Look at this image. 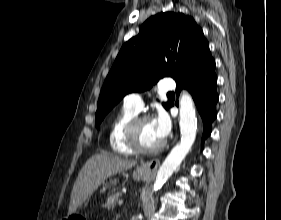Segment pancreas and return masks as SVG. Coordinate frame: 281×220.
<instances>
[{"mask_svg":"<svg viewBox=\"0 0 281 220\" xmlns=\"http://www.w3.org/2000/svg\"><path fill=\"white\" fill-rule=\"evenodd\" d=\"M120 196H121L120 192L110 195L108 197L107 201L105 202V204H103V207L108 208V209H110L111 207H114Z\"/></svg>","mask_w":281,"mask_h":220,"instance_id":"pancreas-1","label":"pancreas"}]
</instances>
